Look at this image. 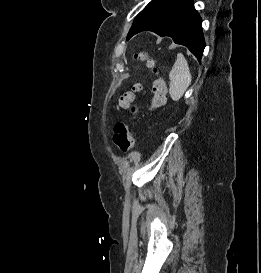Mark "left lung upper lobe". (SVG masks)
<instances>
[{
  "mask_svg": "<svg viewBox=\"0 0 261 273\" xmlns=\"http://www.w3.org/2000/svg\"><path fill=\"white\" fill-rule=\"evenodd\" d=\"M164 1H166V0H152L138 15H137V17H136V19L137 18H139L142 14H144L145 12H147L149 9H151L152 7H154V6H156V5H158V4H160V3H162V2H164ZM135 19V20H136ZM134 20V21H135Z\"/></svg>",
  "mask_w": 261,
  "mask_h": 273,
  "instance_id": "left-lung-upper-lobe-1",
  "label": "left lung upper lobe"
}]
</instances>
